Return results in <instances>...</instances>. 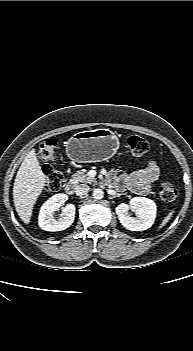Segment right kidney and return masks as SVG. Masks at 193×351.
I'll use <instances>...</instances> for the list:
<instances>
[{
	"label": "right kidney",
	"mask_w": 193,
	"mask_h": 351,
	"mask_svg": "<svg viewBox=\"0 0 193 351\" xmlns=\"http://www.w3.org/2000/svg\"><path fill=\"white\" fill-rule=\"evenodd\" d=\"M68 196L66 194H55L49 198L41 207L38 224L41 229L45 231H62L71 226L75 218V205L67 204L63 209L62 217L58 220L54 219L53 214L55 211L64 205Z\"/></svg>",
	"instance_id": "ca27d5eb"
}]
</instances>
